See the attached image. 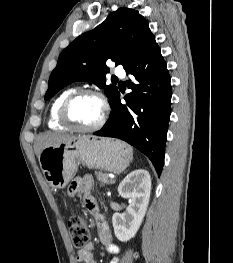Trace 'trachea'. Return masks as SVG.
<instances>
[{"label": "trachea", "mask_w": 233, "mask_h": 263, "mask_svg": "<svg viewBox=\"0 0 233 263\" xmlns=\"http://www.w3.org/2000/svg\"><path fill=\"white\" fill-rule=\"evenodd\" d=\"M112 81H118V78L117 77H113Z\"/></svg>", "instance_id": "1"}]
</instances>
